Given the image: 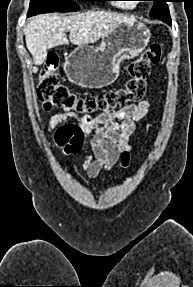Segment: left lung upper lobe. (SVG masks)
<instances>
[{"label":"left lung upper lobe","instance_id":"obj_1","mask_svg":"<svg viewBox=\"0 0 193 287\" xmlns=\"http://www.w3.org/2000/svg\"><path fill=\"white\" fill-rule=\"evenodd\" d=\"M154 2V6L150 11V16L160 19L167 24H171V18L169 14L168 5L166 2L169 0H151Z\"/></svg>","mask_w":193,"mask_h":287}]
</instances>
